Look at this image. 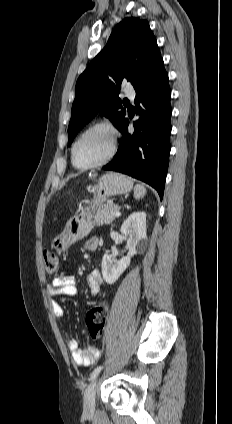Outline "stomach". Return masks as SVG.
<instances>
[{
	"instance_id": "stomach-1",
	"label": "stomach",
	"mask_w": 232,
	"mask_h": 424,
	"mask_svg": "<svg viewBox=\"0 0 232 424\" xmlns=\"http://www.w3.org/2000/svg\"><path fill=\"white\" fill-rule=\"evenodd\" d=\"M133 188L131 179L117 173H107L99 178L94 186L93 207L100 208L107 198L130 192ZM90 209L75 220L70 221L63 233L51 240V248L61 254L76 241L84 238L93 228Z\"/></svg>"
}]
</instances>
